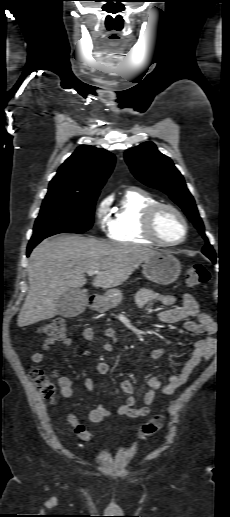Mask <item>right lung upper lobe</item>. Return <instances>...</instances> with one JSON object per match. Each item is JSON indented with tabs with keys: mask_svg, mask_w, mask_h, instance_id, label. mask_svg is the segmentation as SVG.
<instances>
[{
	"mask_svg": "<svg viewBox=\"0 0 230 517\" xmlns=\"http://www.w3.org/2000/svg\"><path fill=\"white\" fill-rule=\"evenodd\" d=\"M115 164V156L101 148L80 146L50 181L46 197L94 195L100 192Z\"/></svg>",
	"mask_w": 230,
	"mask_h": 517,
	"instance_id": "1",
	"label": "right lung upper lobe"
}]
</instances>
